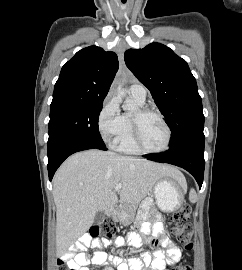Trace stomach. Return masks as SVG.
Listing matches in <instances>:
<instances>
[{
	"label": "stomach",
	"mask_w": 242,
	"mask_h": 270,
	"mask_svg": "<svg viewBox=\"0 0 242 270\" xmlns=\"http://www.w3.org/2000/svg\"><path fill=\"white\" fill-rule=\"evenodd\" d=\"M185 190V183L173 178H162L153 188L156 204L164 212H173L183 203Z\"/></svg>",
	"instance_id": "1"
}]
</instances>
